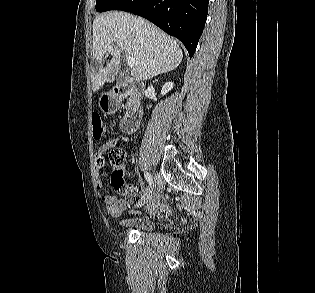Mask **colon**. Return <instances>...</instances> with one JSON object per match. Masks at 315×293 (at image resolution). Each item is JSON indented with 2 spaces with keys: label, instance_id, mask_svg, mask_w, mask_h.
I'll use <instances>...</instances> for the list:
<instances>
[{
  "label": "colon",
  "instance_id": "obj_1",
  "mask_svg": "<svg viewBox=\"0 0 315 293\" xmlns=\"http://www.w3.org/2000/svg\"><path fill=\"white\" fill-rule=\"evenodd\" d=\"M92 123V133L93 137L95 139H101L104 136V126L101 120V117L98 113H94L92 115L91 119ZM107 160L113 167L112 172H111V182L114 188L121 192L124 193L126 190H133L132 187H125L124 185V180H123V162L125 160V153L122 149L120 148H113L110 150V152L107 155ZM103 157L98 158V162H102Z\"/></svg>",
  "mask_w": 315,
  "mask_h": 293
}]
</instances>
